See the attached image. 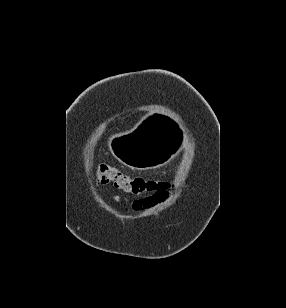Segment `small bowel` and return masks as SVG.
<instances>
[{
	"instance_id": "c3829d8e",
	"label": "small bowel",
	"mask_w": 286,
	"mask_h": 308,
	"mask_svg": "<svg viewBox=\"0 0 286 308\" xmlns=\"http://www.w3.org/2000/svg\"><path fill=\"white\" fill-rule=\"evenodd\" d=\"M166 197H167V194L163 193L162 195L157 196V197H148V198H145V199H136V200L132 201V207L135 211H140L142 209H145V208H148V207L155 205L156 203L164 200ZM114 199L116 201H127L126 198H123L121 196H115Z\"/></svg>"
}]
</instances>
